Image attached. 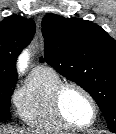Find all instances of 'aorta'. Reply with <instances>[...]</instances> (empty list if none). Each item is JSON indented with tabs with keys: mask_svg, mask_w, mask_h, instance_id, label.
<instances>
[{
	"mask_svg": "<svg viewBox=\"0 0 116 134\" xmlns=\"http://www.w3.org/2000/svg\"><path fill=\"white\" fill-rule=\"evenodd\" d=\"M29 61V53L27 51L23 52V54L21 55L20 59H19V65L21 67V69H24Z\"/></svg>",
	"mask_w": 116,
	"mask_h": 134,
	"instance_id": "obj_1",
	"label": "aorta"
}]
</instances>
